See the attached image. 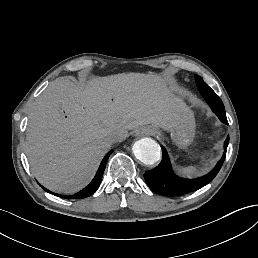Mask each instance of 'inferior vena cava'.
<instances>
[{"mask_svg":"<svg viewBox=\"0 0 258 258\" xmlns=\"http://www.w3.org/2000/svg\"><path fill=\"white\" fill-rule=\"evenodd\" d=\"M106 140L112 145L119 140L118 134L116 132H110L107 134Z\"/></svg>","mask_w":258,"mask_h":258,"instance_id":"1","label":"inferior vena cava"}]
</instances>
